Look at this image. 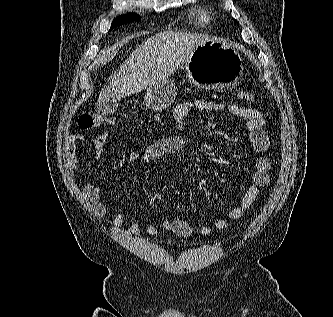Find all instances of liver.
Masks as SVG:
<instances>
[{
  "label": "liver",
  "mask_w": 333,
  "mask_h": 317,
  "mask_svg": "<svg viewBox=\"0 0 333 317\" xmlns=\"http://www.w3.org/2000/svg\"><path fill=\"white\" fill-rule=\"evenodd\" d=\"M212 38L208 35L174 31L160 32L137 47L120 66L98 102L125 98L168 79L188 60L197 46Z\"/></svg>",
  "instance_id": "obj_1"
}]
</instances>
